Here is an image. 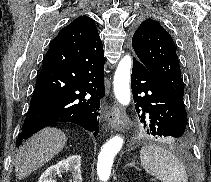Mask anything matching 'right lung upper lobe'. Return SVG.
I'll list each match as a JSON object with an SVG mask.
<instances>
[{"instance_id": "obj_1", "label": "right lung upper lobe", "mask_w": 211, "mask_h": 182, "mask_svg": "<svg viewBox=\"0 0 211 182\" xmlns=\"http://www.w3.org/2000/svg\"><path fill=\"white\" fill-rule=\"evenodd\" d=\"M98 35L94 21L90 17H80L66 26L53 41L64 44L70 41H82Z\"/></svg>"}]
</instances>
